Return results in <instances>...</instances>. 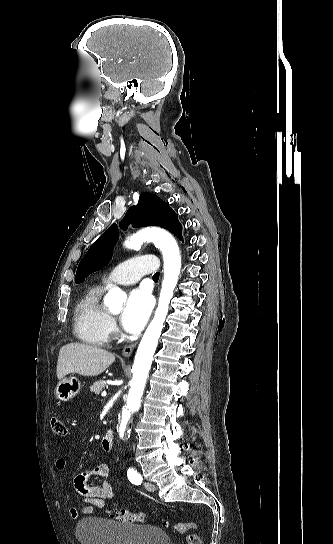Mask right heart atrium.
Segmentation results:
<instances>
[{"mask_svg": "<svg viewBox=\"0 0 333 544\" xmlns=\"http://www.w3.org/2000/svg\"><path fill=\"white\" fill-rule=\"evenodd\" d=\"M108 330L109 334H114L117 330L116 324L112 318L109 319Z\"/></svg>", "mask_w": 333, "mask_h": 544, "instance_id": "d8ad5b80", "label": "right heart atrium"}]
</instances>
